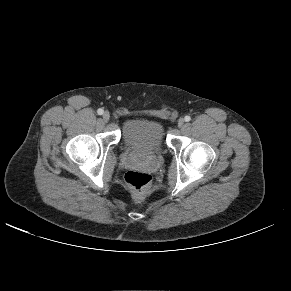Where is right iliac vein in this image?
<instances>
[{
	"label": "right iliac vein",
	"mask_w": 291,
	"mask_h": 291,
	"mask_svg": "<svg viewBox=\"0 0 291 291\" xmlns=\"http://www.w3.org/2000/svg\"><path fill=\"white\" fill-rule=\"evenodd\" d=\"M102 118H103V121H104V122H108L109 119H110V114H109V112H107V111L104 112Z\"/></svg>",
	"instance_id": "1"
}]
</instances>
